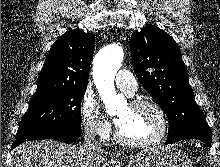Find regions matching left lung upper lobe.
<instances>
[{
  "mask_svg": "<svg viewBox=\"0 0 220 167\" xmlns=\"http://www.w3.org/2000/svg\"><path fill=\"white\" fill-rule=\"evenodd\" d=\"M130 50L136 76L167 115V139L210 131L174 39L157 26L147 25L133 32Z\"/></svg>",
  "mask_w": 220,
  "mask_h": 167,
  "instance_id": "1",
  "label": "left lung upper lobe"
}]
</instances>
